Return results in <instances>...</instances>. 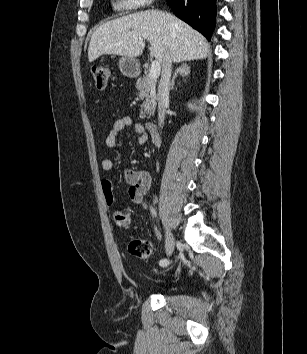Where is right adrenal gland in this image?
Wrapping results in <instances>:
<instances>
[{"label":"right adrenal gland","instance_id":"1","mask_svg":"<svg viewBox=\"0 0 307 354\" xmlns=\"http://www.w3.org/2000/svg\"><path fill=\"white\" fill-rule=\"evenodd\" d=\"M190 73V67L186 64L183 63L179 68L175 70V73L173 74L172 80H171V90L174 89V84H175V79L178 74L182 76H186Z\"/></svg>","mask_w":307,"mask_h":354}]
</instances>
